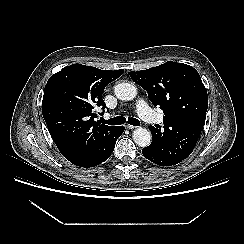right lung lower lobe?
I'll return each instance as SVG.
<instances>
[{
    "label": "right lung lower lobe",
    "mask_w": 244,
    "mask_h": 244,
    "mask_svg": "<svg viewBox=\"0 0 244 244\" xmlns=\"http://www.w3.org/2000/svg\"><path fill=\"white\" fill-rule=\"evenodd\" d=\"M123 131H124L123 126H117L114 129L108 141L104 144V146L99 151H97L92 155L80 156L73 159H69V161L76 166L85 167V168L94 167L101 164L102 162H104L110 157V155L112 154L115 148L116 141L118 137L121 136Z\"/></svg>",
    "instance_id": "98d812e1"
}]
</instances>
